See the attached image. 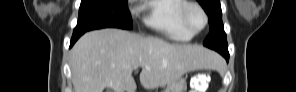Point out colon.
<instances>
[{
    "instance_id": "colon-1",
    "label": "colon",
    "mask_w": 296,
    "mask_h": 92,
    "mask_svg": "<svg viewBox=\"0 0 296 92\" xmlns=\"http://www.w3.org/2000/svg\"><path fill=\"white\" fill-rule=\"evenodd\" d=\"M208 85V77L206 73H198L194 75L190 82V92H205Z\"/></svg>"
}]
</instances>
